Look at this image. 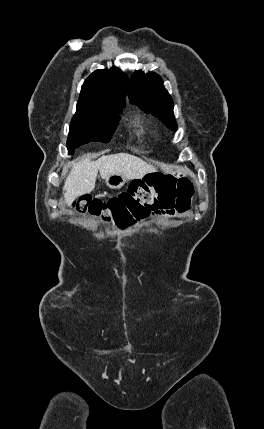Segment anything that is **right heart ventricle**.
<instances>
[{
  "label": "right heart ventricle",
  "mask_w": 264,
  "mask_h": 429,
  "mask_svg": "<svg viewBox=\"0 0 264 429\" xmlns=\"http://www.w3.org/2000/svg\"><path fill=\"white\" fill-rule=\"evenodd\" d=\"M134 125L136 128V134L138 136H145L146 135L147 130H146V126H145V121L141 117H138L134 120Z\"/></svg>",
  "instance_id": "e07e8e85"
}]
</instances>
